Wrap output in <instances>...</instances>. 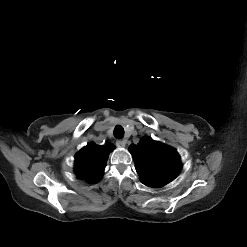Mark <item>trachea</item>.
I'll return each mask as SVG.
<instances>
[{
    "instance_id": "obj_1",
    "label": "trachea",
    "mask_w": 247,
    "mask_h": 247,
    "mask_svg": "<svg viewBox=\"0 0 247 247\" xmlns=\"http://www.w3.org/2000/svg\"><path fill=\"white\" fill-rule=\"evenodd\" d=\"M114 136L121 139L124 136V129L122 126L118 125L114 128Z\"/></svg>"
}]
</instances>
